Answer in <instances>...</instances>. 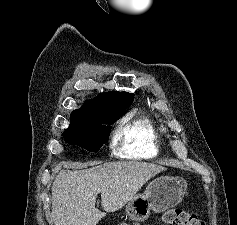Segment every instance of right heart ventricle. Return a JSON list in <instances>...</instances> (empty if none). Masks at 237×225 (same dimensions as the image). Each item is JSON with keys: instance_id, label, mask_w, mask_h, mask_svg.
<instances>
[{"instance_id": "1", "label": "right heart ventricle", "mask_w": 237, "mask_h": 225, "mask_svg": "<svg viewBox=\"0 0 237 225\" xmlns=\"http://www.w3.org/2000/svg\"><path fill=\"white\" fill-rule=\"evenodd\" d=\"M118 154L124 158L150 159L160 152L159 135L147 119L126 120L116 131Z\"/></svg>"}]
</instances>
